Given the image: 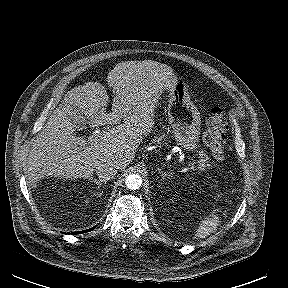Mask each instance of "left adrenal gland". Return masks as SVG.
I'll use <instances>...</instances> for the list:
<instances>
[{"instance_id":"a2214340","label":"left adrenal gland","mask_w":288,"mask_h":288,"mask_svg":"<svg viewBox=\"0 0 288 288\" xmlns=\"http://www.w3.org/2000/svg\"><path fill=\"white\" fill-rule=\"evenodd\" d=\"M157 171H158L159 174H161L162 178H164V177H166V176H171L169 172H163V171L161 170V168H159V167L157 168ZM171 174H172V173H171Z\"/></svg>"}]
</instances>
